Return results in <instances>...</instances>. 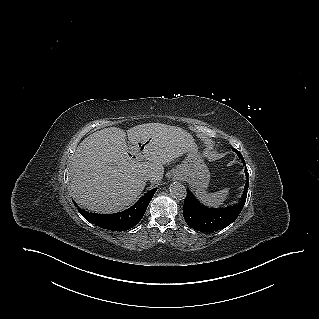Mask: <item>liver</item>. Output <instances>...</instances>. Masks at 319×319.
Segmentation results:
<instances>
[{"label": "liver", "instance_id": "obj_1", "mask_svg": "<svg viewBox=\"0 0 319 319\" xmlns=\"http://www.w3.org/2000/svg\"><path fill=\"white\" fill-rule=\"evenodd\" d=\"M139 149L132 159L126 143ZM189 151H197L192 135L180 127L162 123L137 125L126 132L117 127L104 128L86 137L71 161L70 188L76 202L89 211L114 213L133 204L146 186L162 180L164 164ZM145 160L144 162H140Z\"/></svg>", "mask_w": 319, "mask_h": 319}]
</instances>
